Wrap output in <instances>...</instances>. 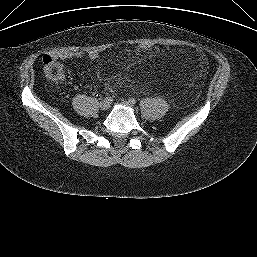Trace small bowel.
<instances>
[{
    "mask_svg": "<svg viewBox=\"0 0 257 257\" xmlns=\"http://www.w3.org/2000/svg\"><path fill=\"white\" fill-rule=\"evenodd\" d=\"M47 56H49L53 60H57V59L64 60L69 58H82V57H87L89 59H96L98 57V54L96 52L82 53V52L52 51Z\"/></svg>",
    "mask_w": 257,
    "mask_h": 257,
    "instance_id": "obj_1",
    "label": "small bowel"
}]
</instances>
